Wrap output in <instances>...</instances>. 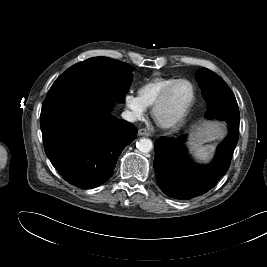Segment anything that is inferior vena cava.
Wrapping results in <instances>:
<instances>
[{"instance_id": "602c4592", "label": "inferior vena cava", "mask_w": 267, "mask_h": 267, "mask_svg": "<svg viewBox=\"0 0 267 267\" xmlns=\"http://www.w3.org/2000/svg\"><path fill=\"white\" fill-rule=\"evenodd\" d=\"M122 118L129 122H135L137 120L135 113L129 110H126L122 113Z\"/></svg>"}]
</instances>
